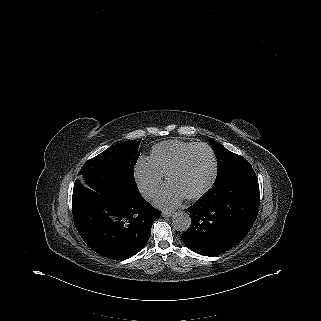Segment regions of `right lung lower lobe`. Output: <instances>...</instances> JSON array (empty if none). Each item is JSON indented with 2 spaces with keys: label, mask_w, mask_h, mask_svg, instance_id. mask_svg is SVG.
Listing matches in <instances>:
<instances>
[{
  "label": "right lung lower lobe",
  "mask_w": 321,
  "mask_h": 321,
  "mask_svg": "<svg viewBox=\"0 0 321 321\" xmlns=\"http://www.w3.org/2000/svg\"><path fill=\"white\" fill-rule=\"evenodd\" d=\"M160 215L140 194L126 200L94 197L73 202L74 223L82 239L98 254L114 260L137 254Z\"/></svg>",
  "instance_id": "right-lung-lower-lobe-1"
}]
</instances>
